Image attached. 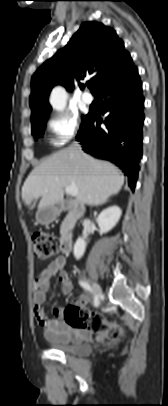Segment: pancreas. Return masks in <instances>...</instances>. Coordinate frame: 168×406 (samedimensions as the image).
I'll list each match as a JSON object with an SVG mask.
<instances>
[{"label":"pancreas","instance_id":"obj_1","mask_svg":"<svg viewBox=\"0 0 168 406\" xmlns=\"http://www.w3.org/2000/svg\"><path fill=\"white\" fill-rule=\"evenodd\" d=\"M68 216L65 218V220L63 221L62 225H61V232L64 230V228L66 227L67 221H68Z\"/></svg>","mask_w":168,"mask_h":406}]
</instances>
